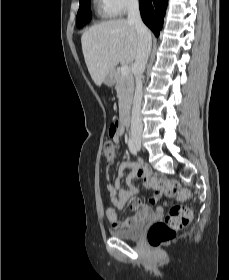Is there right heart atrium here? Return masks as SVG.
Segmentation results:
<instances>
[{
	"label": "right heart atrium",
	"instance_id": "right-heart-atrium-1",
	"mask_svg": "<svg viewBox=\"0 0 229 280\" xmlns=\"http://www.w3.org/2000/svg\"><path fill=\"white\" fill-rule=\"evenodd\" d=\"M102 9L111 16H121L135 7L138 0H99Z\"/></svg>",
	"mask_w": 229,
	"mask_h": 280
}]
</instances>
